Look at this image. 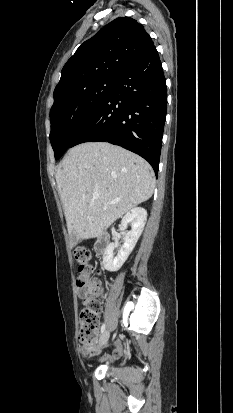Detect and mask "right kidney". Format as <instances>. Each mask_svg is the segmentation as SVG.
Returning a JSON list of instances; mask_svg holds the SVG:
<instances>
[{
  "label": "right kidney",
  "instance_id": "1",
  "mask_svg": "<svg viewBox=\"0 0 233 413\" xmlns=\"http://www.w3.org/2000/svg\"><path fill=\"white\" fill-rule=\"evenodd\" d=\"M147 220V211L142 207L132 208L121 220V228L126 230L128 224H131V230L125 231L124 243L114 256L116 245L110 243L103 254V266L106 270L118 271L133 251L139 237L141 236Z\"/></svg>",
  "mask_w": 233,
  "mask_h": 413
}]
</instances>
